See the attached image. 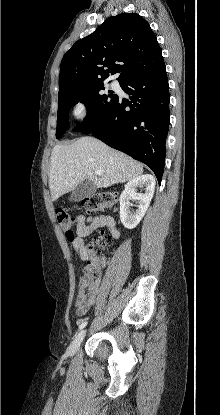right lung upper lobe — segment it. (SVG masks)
Listing matches in <instances>:
<instances>
[{"mask_svg":"<svg viewBox=\"0 0 220 415\" xmlns=\"http://www.w3.org/2000/svg\"><path fill=\"white\" fill-rule=\"evenodd\" d=\"M157 38L137 13L109 17L92 34L74 43L64 55L59 94L78 85H95L115 73L118 81L163 62Z\"/></svg>","mask_w":220,"mask_h":415,"instance_id":"cb5924a9","label":"right lung upper lobe"}]
</instances>
